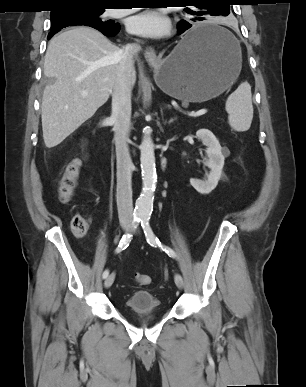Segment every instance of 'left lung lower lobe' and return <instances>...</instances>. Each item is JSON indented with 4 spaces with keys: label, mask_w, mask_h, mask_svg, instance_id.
I'll list each match as a JSON object with an SVG mask.
<instances>
[{
    "label": "left lung lower lobe",
    "mask_w": 306,
    "mask_h": 387,
    "mask_svg": "<svg viewBox=\"0 0 306 387\" xmlns=\"http://www.w3.org/2000/svg\"><path fill=\"white\" fill-rule=\"evenodd\" d=\"M226 15H228V13H226ZM191 27H192V24L186 21H180L178 23L179 34L185 32ZM191 30L192 29H190L185 34V45L187 47H192L207 41L222 40L224 37L223 36L224 32L219 30H206L203 32H191Z\"/></svg>",
    "instance_id": "left-lung-lower-lobe-1"
}]
</instances>
